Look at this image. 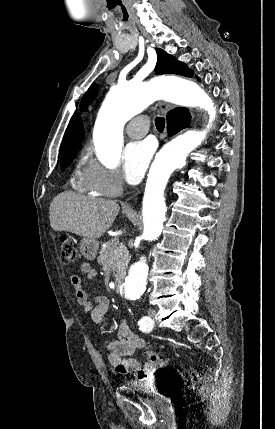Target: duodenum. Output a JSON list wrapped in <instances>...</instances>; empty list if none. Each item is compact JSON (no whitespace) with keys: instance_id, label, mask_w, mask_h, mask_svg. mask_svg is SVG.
I'll return each instance as SVG.
<instances>
[{"instance_id":"duodenum-1","label":"duodenum","mask_w":275,"mask_h":429,"mask_svg":"<svg viewBox=\"0 0 275 429\" xmlns=\"http://www.w3.org/2000/svg\"><path fill=\"white\" fill-rule=\"evenodd\" d=\"M123 285V278L118 276L114 281V288L117 292L121 291Z\"/></svg>"}]
</instances>
